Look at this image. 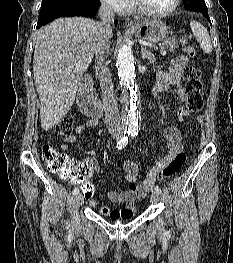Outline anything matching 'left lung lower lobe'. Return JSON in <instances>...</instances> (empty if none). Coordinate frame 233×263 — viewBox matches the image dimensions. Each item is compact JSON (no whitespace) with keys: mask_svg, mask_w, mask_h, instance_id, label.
Instances as JSON below:
<instances>
[{"mask_svg":"<svg viewBox=\"0 0 233 263\" xmlns=\"http://www.w3.org/2000/svg\"><path fill=\"white\" fill-rule=\"evenodd\" d=\"M209 21H210V18H209V15H208V11H204V12H201Z\"/></svg>","mask_w":233,"mask_h":263,"instance_id":"0a47b994","label":"left lung lower lobe"}]
</instances>
